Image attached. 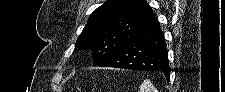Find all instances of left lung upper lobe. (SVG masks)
Listing matches in <instances>:
<instances>
[{
    "mask_svg": "<svg viewBox=\"0 0 225 92\" xmlns=\"http://www.w3.org/2000/svg\"><path fill=\"white\" fill-rule=\"evenodd\" d=\"M153 17L145 0H109L89 17L76 47L93 50V65H100L130 41Z\"/></svg>",
    "mask_w": 225,
    "mask_h": 92,
    "instance_id": "1",
    "label": "left lung upper lobe"
}]
</instances>
